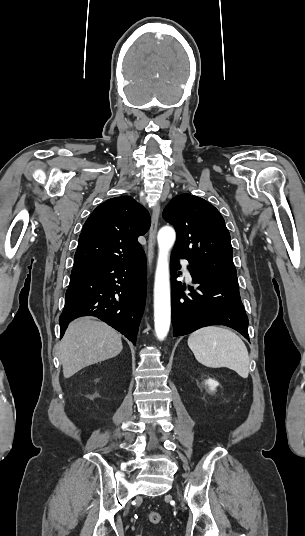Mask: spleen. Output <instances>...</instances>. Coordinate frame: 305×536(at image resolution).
Returning a JSON list of instances; mask_svg holds the SVG:
<instances>
[{
	"label": "spleen",
	"instance_id": "1",
	"mask_svg": "<svg viewBox=\"0 0 305 536\" xmlns=\"http://www.w3.org/2000/svg\"><path fill=\"white\" fill-rule=\"evenodd\" d=\"M188 346L197 362L207 368H229L241 378H248L250 358L247 348L239 336L231 330L208 326L193 332Z\"/></svg>",
	"mask_w": 305,
	"mask_h": 536
}]
</instances>
